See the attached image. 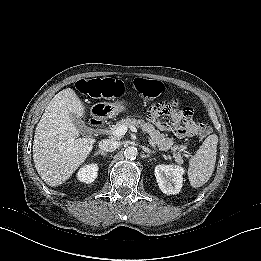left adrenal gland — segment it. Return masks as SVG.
Returning a JSON list of instances; mask_svg holds the SVG:
<instances>
[{"instance_id": "left-adrenal-gland-1", "label": "left adrenal gland", "mask_w": 261, "mask_h": 261, "mask_svg": "<svg viewBox=\"0 0 261 261\" xmlns=\"http://www.w3.org/2000/svg\"><path fill=\"white\" fill-rule=\"evenodd\" d=\"M144 151L147 153V154H155L157 153L156 151L148 148V147H144Z\"/></svg>"}]
</instances>
